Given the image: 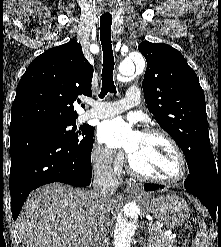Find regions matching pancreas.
Returning a JSON list of instances; mask_svg holds the SVG:
<instances>
[{"label": "pancreas", "instance_id": "pancreas-1", "mask_svg": "<svg viewBox=\"0 0 221 247\" xmlns=\"http://www.w3.org/2000/svg\"><path fill=\"white\" fill-rule=\"evenodd\" d=\"M147 242L149 247H175L174 244L176 241L174 239H169L160 232L158 227L152 225L149 229Z\"/></svg>", "mask_w": 221, "mask_h": 247}]
</instances>
